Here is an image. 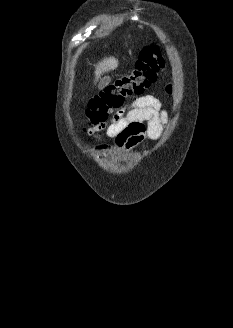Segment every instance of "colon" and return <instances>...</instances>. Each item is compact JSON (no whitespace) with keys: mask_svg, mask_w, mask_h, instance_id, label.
Returning <instances> with one entry per match:
<instances>
[{"mask_svg":"<svg viewBox=\"0 0 233 328\" xmlns=\"http://www.w3.org/2000/svg\"><path fill=\"white\" fill-rule=\"evenodd\" d=\"M164 66L165 60L159 47L143 48L133 70L117 77L90 99L87 117L91 123L97 125L106 122L110 114L119 109L127 97L142 95L155 82L159 70Z\"/></svg>","mask_w":233,"mask_h":328,"instance_id":"5ec220e1","label":"colon"}]
</instances>
